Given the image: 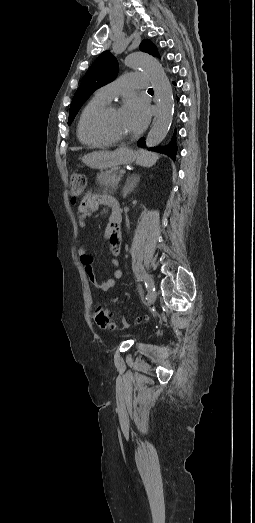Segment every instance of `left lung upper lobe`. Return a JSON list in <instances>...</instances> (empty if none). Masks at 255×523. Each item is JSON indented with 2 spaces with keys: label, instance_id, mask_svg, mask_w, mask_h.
Masks as SVG:
<instances>
[{
  "label": "left lung upper lobe",
  "instance_id": "obj_1",
  "mask_svg": "<svg viewBox=\"0 0 255 523\" xmlns=\"http://www.w3.org/2000/svg\"><path fill=\"white\" fill-rule=\"evenodd\" d=\"M140 49L150 55L160 57L157 47L148 39L142 41ZM117 72L118 63L116 58L110 53V51L103 52L91 65L73 97L70 106L68 125L71 124L77 112L90 95L98 88L113 81L117 76ZM177 100L179 99L177 98ZM173 137H175L176 140V134H173ZM143 141L145 143V140ZM158 148L159 147H154L152 150L157 151Z\"/></svg>",
  "mask_w": 255,
  "mask_h": 523
}]
</instances>
